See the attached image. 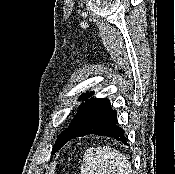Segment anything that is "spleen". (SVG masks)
Listing matches in <instances>:
<instances>
[{
  "label": "spleen",
  "mask_w": 175,
  "mask_h": 174,
  "mask_svg": "<svg viewBox=\"0 0 175 174\" xmlns=\"http://www.w3.org/2000/svg\"><path fill=\"white\" fill-rule=\"evenodd\" d=\"M128 159L110 147L88 148L83 156L81 174H131Z\"/></svg>",
  "instance_id": "obj_1"
}]
</instances>
